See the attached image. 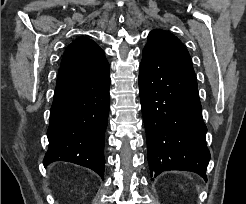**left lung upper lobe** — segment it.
Masks as SVG:
<instances>
[{
    "label": "left lung upper lobe",
    "mask_w": 246,
    "mask_h": 204,
    "mask_svg": "<svg viewBox=\"0 0 246 204\" xmlns=\"http://www.w3.org/2000/svg\"><path fill=\"white\" fill-rule=\"evenodd\" d=\"M145 49L153 50L168 59L192 65L190 55L183 43L167 31L160 29L151 31Z\"/></svg>",
    "instance_id": "left-lung-upper-lobe-1"
}]
</instances>
